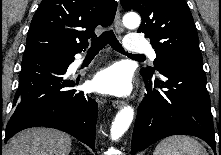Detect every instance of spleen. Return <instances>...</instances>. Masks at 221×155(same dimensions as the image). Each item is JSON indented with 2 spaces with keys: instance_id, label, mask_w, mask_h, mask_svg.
Listing matches in <instances>:
<instances>
[{
  "instance_id": "3e777b00",
  "label": "spleen",
  "mask_w": 221,
  "mask_h": 155,
  "mask_svg": "<svg viewBox=\"0 0 221 155\" xmlns=\"http://www.w3.org/2000/svg\"><path fill=\"white\" fill-rule=\"evenodd\" d=\"M153 155H208V153L195 138L177 135L159 142Z\"/></svg>"
}]
</instances>
